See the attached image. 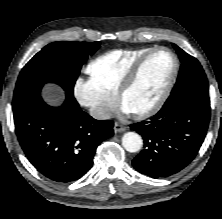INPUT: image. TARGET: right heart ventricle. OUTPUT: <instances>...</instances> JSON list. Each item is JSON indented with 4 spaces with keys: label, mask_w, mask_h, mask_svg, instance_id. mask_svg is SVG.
Wrapping results in <instances>:
<instances>
[{
    "label": "right heart ventricle",
    "mask_w": 222,
    "mask_h": 219,
    "mask_svg": "<svg viewBox=\"0 0 222 219\" xmlns=\"http://www.w3.org/2000/svg\"><path fill=\"white\" fill-rule=\"evenodd\" d=\"M150 49L151 47H142L105 52L87 65L86 72L101 94L114 97L123 76Z\"/></svg>",
    "instance_id": "1"
}]
</instances>
